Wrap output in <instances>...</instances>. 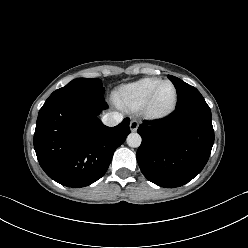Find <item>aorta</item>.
<instances>
[{
    "label": "aorta",
    "mask_w": 248,
    "mask_h": 248,
    "mask_svg": "<svg viewBox=\"0 0 248 248\" xmlns=\"http://www.w3.org/2000/svg\"><path fill=\"white\" fill-rule=\"evenodd\" d=\"M126 141L130 147L137 148L140 146L142 138L138 133H130Z\"/></svg>",
    "instance_id": "aorta-1"
}]
</instances>
